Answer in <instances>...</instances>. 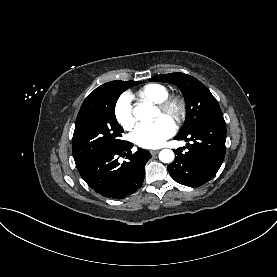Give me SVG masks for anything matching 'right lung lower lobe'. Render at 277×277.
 <instances>
[{
	"label": "right lung lower lobe",
	"mask_w": 277,
	"mask_h": 277,
	"mask_svg": "<svg viewBox=\"0 0 277 277\" xmlns=\"http://www.w3.org/2000/svg\"><path fill=\"white\" fill-rule=\"evenodd\" d=\"M133 144L127 142L118 148L96 151L83 158L75 160L76 167L90 188L104 197L121 199L134 193L144 181V168L151 158L149 151L138 148L131 154ZM128 151V161L120 164L119 156H125Z\"/></svg>",
	"instance_id": "obj_1"
}]
</instances>
